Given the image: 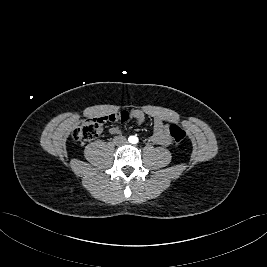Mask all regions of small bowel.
I'll use <instances>...</instances> for the list:
<instances>
[{
	"instance_id": "1",
	"label": "small bowel",
	"mask_w": 267,
	"mask_h": 267,
	"mask_svg": "<svg viewBox=\"0 0 267 267\" xmlns=\"http://www.w3.org/2000/svg\"><path fill=\"white\" fill-rule=\"evenodd\" d=\"M114 113H110L105 117H109ZM125 113L127 114V120L131 118L138 124L143 123L147 116L146 112L140 109H135L129 113L128 112ZM151 117L153 118L154 122L153 134L150 137L151 142L161 146H169L172 143V137L169 133L170 125L168 124V122L171 121V118L168 115H159V114H153L151 115ZM120 131L121 130L118 126H112L109 129V132L114 135L119 134Z\"/></svg>"
}]
</instances>
